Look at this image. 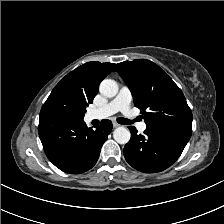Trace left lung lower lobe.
I'll list each match as a JSON object with an SVG mask.
<instances>
[{"label":"left lung lower lobe","instance_id":"1","mask_svg":"<svg viewBox=\"0 0 224 224\" xmlns=\"http://www.w3.org/2000/svg\"><path fill=\"white\" fill-rule=\"evenodd\" d=\"M131 139L124 147L127 162L135 169L154 173L171 166L181 155L192 131L147 126L144 135L129 127Z\"/></svg>","mask_w":224,"mask_h":224}]
</instances>
